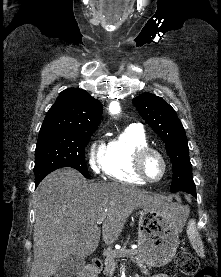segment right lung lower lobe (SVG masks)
Returning a JSON list of instances; mask_svg holds the SVG:
<instances>
[{
  "instance_id": "right-lung-lower-lobe-1",
  "label": "right lung lower lobe",
  "mask_w": 221,
  "mask_h": 277,
  "mask_svg": "<svg viewBox=\"0 0 221 277\" xmlns=\"http://www.w3.org/2000/svg\"><path fill=\"white\" fill-rule=\"evenodd\" d=\"M40 181H36V186L39 184Z\"/></svg>"
}]
</instances>
